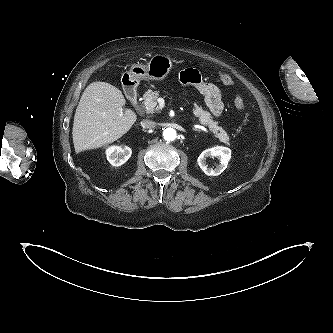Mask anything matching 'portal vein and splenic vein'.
<instances>
[{"instance_id":"18ae733b","label":"portal vein and splenic vein","mask_w":333,"mask_h":333,"mask_svg":"<svg viewBox=\"0 0 333 333\" xmlns=\"http://www.w3.org/2000/svg\"><path fill=\"white\" fill-rule=\"evenodd\" d=\"M158 103H159L160 108L164 107V99L163 98H159Z\"/></svg>"}]
</instances>
